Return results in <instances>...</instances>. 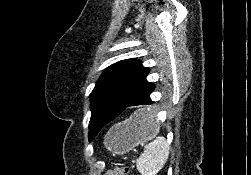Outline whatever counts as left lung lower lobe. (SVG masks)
Here are the masks:
<instances>
[{"label": "left lung lower lobe", "instance_id": "0a47b994", "mask_svg": "<svg viewBox=\"0 0 251 175\" xmlns=\"http://www.w3.org/2000/svg\"><path fill=\"white\" fill-rule=\"evenodd\" d=\"M155 85L146 80L138 85L130 99L125 104L111 103L97 111L102 124L106 125L116 118L131 117L137 119H146L155 116L156 110L150 106L153 101L150 94L154 91Z\"/></svg>", "mask_w": 251, "mask_h": 175}]
</instances>
